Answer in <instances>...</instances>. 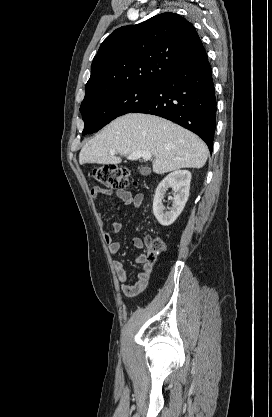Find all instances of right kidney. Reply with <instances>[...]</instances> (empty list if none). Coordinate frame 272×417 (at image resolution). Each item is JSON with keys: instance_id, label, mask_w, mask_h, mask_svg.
Returning <instances> with one entry per match:
<instances>
[{"instance_id": "1", "label": "right kidney", "mask_w": 272, "mask_h": 417, "mask_svg": "<svg viewBox=\"0 0 272 417\" xmlns=\"http://www.w3.org/2000/svg\"><path fill=\"white\" fill-rule=\"evenodd\" d=\"M191 173L187 170H177L167 175L158 185L153 200V214L162 226L174 223L183 211L189 197ZM168 188L174 191L172 207L164 212L163 200Z\"/></svg>"}]
</instances>
